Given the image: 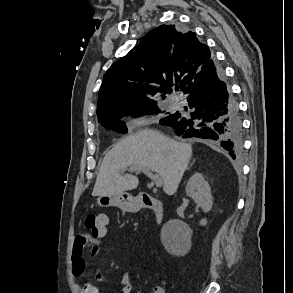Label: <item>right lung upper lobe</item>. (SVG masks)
Wrapping results in <instances>:
<instances>
[{"label":"right lung upper lobe","mask_w":293,"mask_h":293,"mask_svg":"<svg viewBox=\"0 0 293 293\" xmlns=\"http://www.w3.org/2000/svg\"><path fill=\"white\" fill-rule=\"evenodd\" d=\"M210 59L208 46L199 42L194 32L182 33L171 24L149 31L137 47L104 75L98 118L111 112L148 108L154 102L146 94L158 91L163 96L173 87L182 91Z\"/></svg>","instance_id":"1"}]
</instances>
